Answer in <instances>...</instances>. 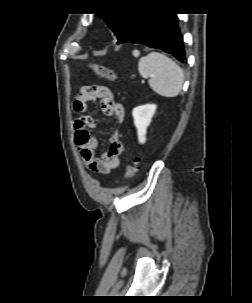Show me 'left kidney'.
I'll use <instances>...</instances> for the list:
<instances>
[{"instance_id": "obj_1", "label": "left kidney", "mask_w": 252, "mask_h": 303, "mask_svg": "<svg viewBox=\"0 0 252 303\" xmlns=\"http://www.w3.org/2000/svg\"><path fill=\"white\" fill-rule=\"evenodd\" d=\"M156 111L155 104H145L135 107L132 111L134 124L137 128L138 140L141 144L146 141L147 127Z\"/></svg>"}]
</instances>
